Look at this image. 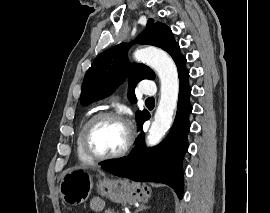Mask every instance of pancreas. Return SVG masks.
<instances>
[{"label":"pancreas","mask_w":270,"mask_h":213,"mask_svg":"<svg viewBox=\"0 0 270 213\" xmlns=\"http://www.w3.org/2000/svg\"><path fill=\"white\" fill-rule=\"evenodd\" d=\"M105 213H118V212H115L114 209H108V210H105Z\"/></svg>","instance_id":"obj_1"}]
</instances>
